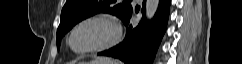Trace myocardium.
I'll use <instances>...</instances> for the list:
<instances>
[{
  "instance_id": "myocardium-1",
  "label": "myocardium",
  "mask_w": 242,
  "mask_h": 64,
  "mask_svg": "<svg viewBox=\"0 0 242 64\" xmlns=\"http://www.w3.org/2000/svg\"><path fill=\"white\" fill-rule=\"evenodd\" d=\"M90 23H104L108 25L111 28L110 36L105 41L97 45H94L82 50L75 49L72 44V40L75 33L81 27ZM121 38H122V28L118 23V21H116L114 18L107 15H91L81 19L73 26L68 36V45L74 53L83 55V54H89V53L108 50L114 47L115 45H117L120 42Z\"/></svg>"
}]
</instances>
